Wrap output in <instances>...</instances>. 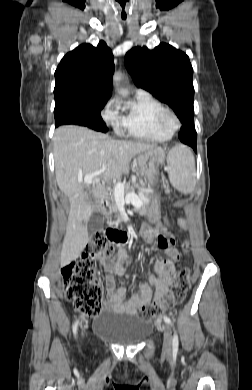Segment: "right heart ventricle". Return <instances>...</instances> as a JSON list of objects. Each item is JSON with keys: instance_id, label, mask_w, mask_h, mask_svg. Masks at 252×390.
Masks as SVG:
<instances>
[{"instance_id": "obj_1", "label": "right heart ventricle", "mask_w": 252, "mask_h": 390, "mask_svg": "<svg viewBox=\"0 0 252 390\" xmlns=\"http://www.w3.org/2000/svg\"><path fill=\"white\" fill-rule=\"evenodd\" d=\"M164 106L150 95L135 96L124 107L120 126L116 132L124 137L144 142H165L172 133L161 129L156 115Z\"/></svg>"}]
</instances>
